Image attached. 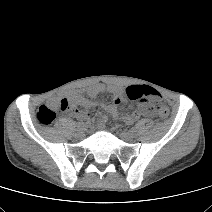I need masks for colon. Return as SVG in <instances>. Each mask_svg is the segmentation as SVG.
Listing matches in <instances>:
<instances>
[{
  "label": "colon",
  "instance_id": "obj_1",
  "mask_svg": "<svg viewBox=\"0 0 212 212\" xmlns=\"http://www.w3.org/2000/svg\"><path fill=\"white\" fill-rule=\"evenodd\" d=\"M126 95L131 100H145L158 109L162 118H168L170 111L164 105L161 94L154 88L145 85H133L126 89ZM69 104L67 99L51 100L39 107L36 118L42 125H50L57 116L67 110Z\"/></svg>",
  "mask_w": 212,
  "mask_h": 212
}]
</instances>
